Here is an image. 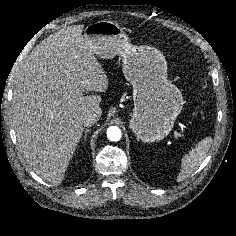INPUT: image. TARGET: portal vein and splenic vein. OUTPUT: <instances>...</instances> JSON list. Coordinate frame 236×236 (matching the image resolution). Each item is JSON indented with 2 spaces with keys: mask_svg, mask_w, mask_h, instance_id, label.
<instances>
[{
  "mask_svg": "<svg viewBox=\"0 0 236 236\" xmlns=\"http://www.w3.org/2000/svg\"><path fill=\"white\" fill-rule=\"evenodd\" d=\"M175 136H176V137H179V138L183 137V135H181V134H179V133H175Z\"/></svg>",
  "mask_w": 236,
  "mask_h": 236,
  "instance_id": "obj_1",
  "label": "portal vein and splenic vein"
}]
</instances>
